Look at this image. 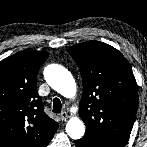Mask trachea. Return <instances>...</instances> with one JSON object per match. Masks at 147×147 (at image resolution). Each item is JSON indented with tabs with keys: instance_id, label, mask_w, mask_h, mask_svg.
Instances as JSON below:
<instances>
[{
	"instance_id": "1",
	"label": "trachea",
	"mask_w": 147,
	"mask_h": 147,
	"mask_svg": "<svg viewBox=\"0 0 147 147\" xmlns=\"http://www.w3.org/2000/svg\"><path fill=\"white\" fill-rule=\"evenodd\" d=\"M62 108L61 101L58 98L53 99V112L60 113Z\"/></svg>"
}]
</instances>
